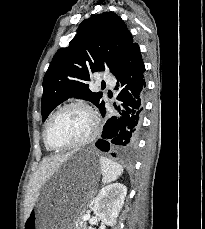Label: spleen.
Returning <instances> with one entry per match:
<instances>
[{"label":"spleen","instance_id":"3e777b00","mask_svg":"<svg viewBox=\"0 0 205 229\" xmlns=\"http://www.w3.org/2000/svg\"><path fill=\"white\" fill-rule=\"evenodd\" d=\"M100 166L104 184L115 181L123 173V167L120 164L106 157H100Z\"/></svg>","mask_w":205,"mask_h":229}]
</instances>
